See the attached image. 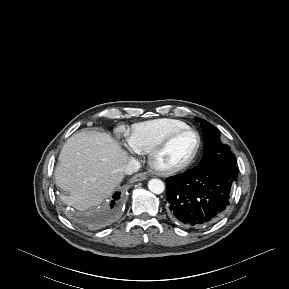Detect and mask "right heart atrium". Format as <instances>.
Wrapping results in <instances>:
<instances>
[{
  "instance_id": "1",
  "label": "right heart atrium",
  "mask_w": 289,
  "mask_h": 289,
  "mask_svg": "<svg viewBox=\"0 0 289 289\" xmlns=\"http://www.w3.org/2000/svg\"><path fill=\"white\" fill-rule=\"evenodd\" d=\"M130 146H131V145H130ZM131 149L134 150V151H136L132 146H131Z\"/></svg>"
}]
</instances>
